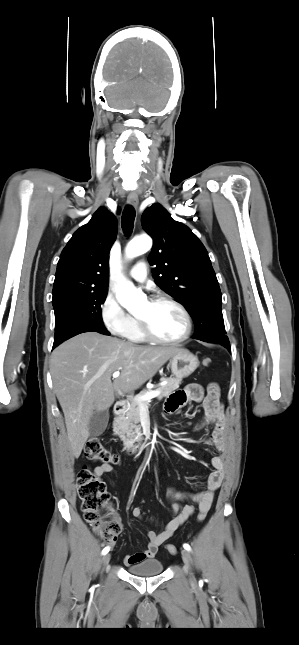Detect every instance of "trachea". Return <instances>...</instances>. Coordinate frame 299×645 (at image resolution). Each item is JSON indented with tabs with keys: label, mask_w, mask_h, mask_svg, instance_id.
Wrapping results in <instances>:
<instances>
[{
	"label": "trachea",
	"mask_w": 299,
	"mask_h": 645,
	"mask_svg": "<svg viewBox=\"0 0 299 645\" xmlns=\"http://www.w3.org/2000/svg\"><path fill=\"white\" fill-rule=\"evenodd\" d=\"M135 220V210L132 206H126L122 214V228L126 235L132 233Z\"/></svg>",
	"instance_id": "1"
}]
</instances>
